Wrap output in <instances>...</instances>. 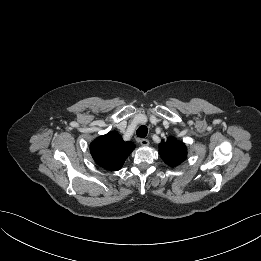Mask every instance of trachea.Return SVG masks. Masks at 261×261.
<instances>
[{"label": "trachea", "instance_id": "trachea-1", "mask_svg": "<svg viewBox=\"0 0 261 261\" xmlns=\"http://www.w3.org/2000/svg\"><path fill=\"white\" fill-rule=\"evenodd\" d=\"M147 133H148V129L144 125L140 126L136 131L137 137L140 138H145L147 136Z\"/></svg>", "mask_w": 261, "mask_h": 261}]
</instances>
